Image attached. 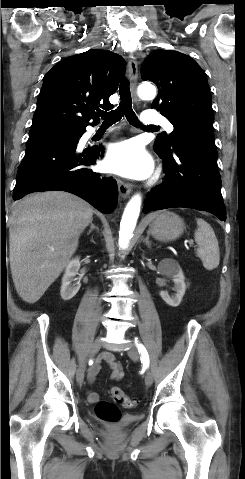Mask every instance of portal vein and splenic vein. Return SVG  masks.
Segmentation results:
<instances>
[{
  "label": "portal vein and splenic vein",
  "mask_w": 245,
  "mask_h": 479,
  "mask_svg": "<svg viewBox=\"0 0 245 479\" xmlns=\"http://www.w3.org/2000/svg\"><path fill=\"white\" fill-rule=\"evenodd\" d=\"M189 245H193V242H192V241H190V242H189Z\"/></svg>",
  "instance_id": "portal-vein-and-splenic-vein-1"
}]
</instances>
